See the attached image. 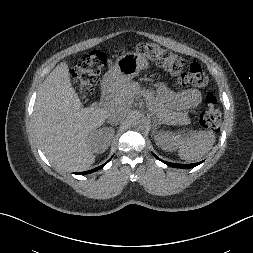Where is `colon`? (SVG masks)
<instances>
[{
  "instance_id": "5ec220e1",
  "label": "colon",
  "mask_w": 253,
  "mask_h": 253,
  "mask_svg": "<svg viewBox=\"0 0 253 253\" xmlns=\"http://www.w3.org/2000/svg\"><path fill=\"white\" fill-rule=\"evenodd\" d=\"M140 55L155 62L173 75L184 86L203 87L208 77L197 62H186L180 56L165 50L154 43H140L134 47ZM107 65V56L100 50H91L83 55L73 70V82L78 87L81 99L86 101L98 84ZM199 122L203 128L216 130L221 123V113L213 93H206L205 108L200 113Z\"/></svg>"
}]
</instances>
